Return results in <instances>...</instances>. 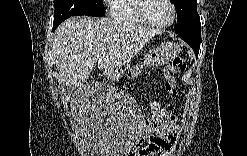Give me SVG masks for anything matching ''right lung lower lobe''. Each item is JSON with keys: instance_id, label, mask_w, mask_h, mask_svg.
Here are the masks:
<instances>
[{"instance_id": "1", "label": "right lung lower lobe", "mask_w": 247, "mask_h": 156, "mask_svg": "<svg viewBox=\"0 0 247 156\" xmlns=\"http://www.w3.org/2000/svg\"><path fill=\"white\" fill-rule=\"evenodd\" d=\"M58 27V25L53 24V31Z\"/></svg>"}]
</instances>
